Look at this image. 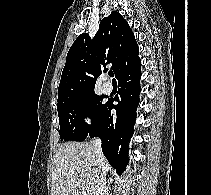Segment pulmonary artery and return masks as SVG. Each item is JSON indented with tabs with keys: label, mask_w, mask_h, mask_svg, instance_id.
<instances>
[{
	"label": "pulmonary artery",
	"mask_w": 211,
	"mask_h": 195,
	"mask_svg": "<svg viewBox=\"0 0 211 195\" xmlns=\"http://www.w3.org/2000/svg\"><path fill=\"white\" fill-rule=\"evenodd\" d=\"M103 90L105 93H110L112 91V84L106 79L103 82Z\"/></svg>",
	"instance_id": "e3ab8cb5"
}]
</instances>
